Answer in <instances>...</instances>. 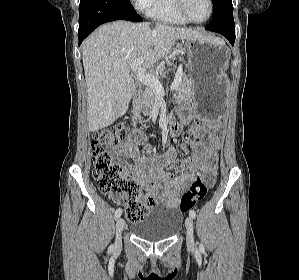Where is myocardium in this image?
<instances>
[{
	"instance_id": "obj_1",
	"label": "myocardium",
	"mask_w": 299,
	"mask_h": 280,
	"mask_svg": "<svg viewBox=\"0 0 299 280\" xmlns=\"http://www.w3.org/2000/svg\"><path fill=\"white\" fill-rule=\"evenodd\" d=\"M207 1L209 4V12H208L207 17L201 21L194 20L193 18L190 17V15L188 14V12L186 10V5H185L186 1L185 0H174V5H175V8L178 11V13L189 23L204 24L211 18L212 14H213V8H214L213 1L212 0H207Z\"/></svg>"
}]
</instances>
